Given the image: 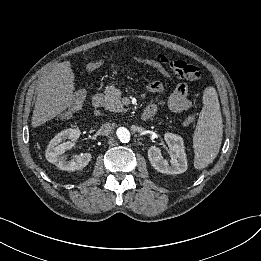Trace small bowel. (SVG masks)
Here are the masks:
<instances>
[{"instance_id":"1","label":"small bowel","mask_w":261,"mask_h":261,"mask_svg":"<svg viewBox=\"0 0 261 261\" xmlns=\"http://www.w3.org/2000/svg\"><path fill=\"white\" fill-rule=\"evenodd\" d=\"M137 60L140 63H146L147 59L142 56L138 55ZM160 61L165 62L167 59L164 56H160ZM100 67V62L97 60H90L86 66L85 71L88 74L95 73ZM148 90L154 94H160L164 91V86L161 81L153 80L151 81L148 86ZM192 105L191 99L189 98V90L186 84L178 83L170 95L168 99V107L175 112H184L188 110ZM147 107L151 108L154 111V114L158 110V105L155 101L150 102Z\"/></svg>"}]
</instances>
